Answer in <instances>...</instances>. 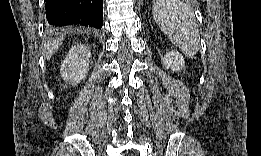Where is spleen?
<instances>
[{
    "mask_svg": "<svg viewBox=\"0 0 261 156\" xmlns=\"http://www.w3.org/2000/svg\"><path fill=\"white\" fill-rule=\"evenodd\" d=\"M152 14L171 43L185 55L194 57L199 50V33L191 7L184 1L155 0Z\"/></svg>",
    "mask_w": 261,
    "mask_h": 156,
    "instance_id": "spleen-1",
    "label": "spleen"
}]
</instances>
